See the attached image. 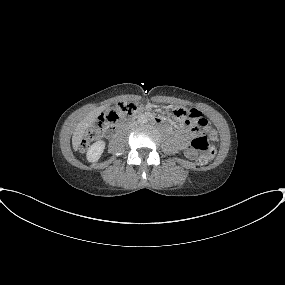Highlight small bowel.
I'll return each instance as SVG.
<instances>
[{"label":"small bowel","instance_id":"obj_1","mask_svg":"<svg viewBox=\"0 0 285 285\" xmlns=\"http://www.w3.org/2000/svg\"><path fill=\"white\" fill-rule=\"evenodd\" d=\"M188 117L189 119H191L193 121V119H201L203 120L202 118V114L200 113V111H198L197 109H191L189 111V114H188ZM187 123H184L182 124V127L186 126ZM177 140H178V143H179V147L180 149L182 150H186V138H185V134H184V131H182L181 133L178 134L177 136ZM186 155L190 158H194L196 155L193 154V153H189V152H185Z\"/></svg>","mask_w":285,"mask_h":285}]
</instances>
